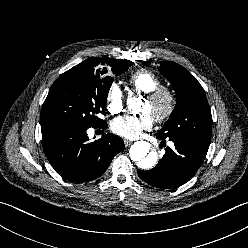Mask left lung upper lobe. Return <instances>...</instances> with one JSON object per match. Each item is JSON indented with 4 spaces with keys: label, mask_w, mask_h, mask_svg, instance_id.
I'll return each instance as SVG.
<instances>
[{
    "label": "left lung upper lobe",
    "mask_w": 248,
    "mask_h": 248,
    "mask_svg": "<svg viewBox=\"0 0 248 248\" xmlns=\"http://www.w3.org/2000/svg\"><path fill=\"white\" fill-rule=\"evenodd\" d=\"M142 63L150 66L148 61ZM158 69L177 94L174 111L158 134L209 148L212 116L203 87L184 67L174 62L163 61Z\"/></svg>",
    "instance_id": "1"
}]
</instances>
